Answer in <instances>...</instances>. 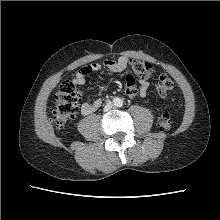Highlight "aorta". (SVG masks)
I'll return each instance as SVG.
<instances>
[{"instance_id": "obj_1", "label": "aorta", "mask_w": 220, "mask_h": 220, "mask_svg": "<svg viewBox=\"0 0 220 220\" xmlns=\"http://www.w3.org/2000/svg\"><path fill=\"white\" fill-rule=\"evenodd\" d=\"M113 104L116 106V107H121L123 105V101L120 99V98H115L113 100Z\"/></svg>"}]
</instances>
